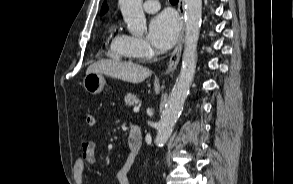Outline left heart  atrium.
I'll return each mask as SVG.
<instances>
[{"instance_id":"obj_1","label":"left heart atrium","mask_w":293,"mask_h":184,"mask_svg":"<svg viewBox=\"0 0 293 184\" xmlns=\"http://www.w3.org/2000/svg\"><path fill=\"white\" fill-rule=\"evenodd\" d=\"M179 29L178 18L171 12H162L151 20L148 37L154 47L165 51L175 43Z\"/></svg>"}]
</instances>
